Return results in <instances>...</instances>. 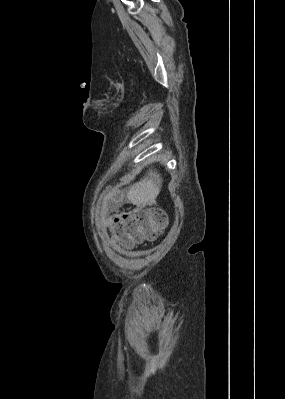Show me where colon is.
<instances>
[{
  "label": "colon",
  "instance_id": "obj_1",
  "mask_svg": "<svg viewBox=\"0 0 285 399\" xmlns=\"http://www.w3.org/2000/svg\"><path fill=\"white\" fill-rule=\"evenodd\" d=\"M101 214L110 221V235L121 248H130L143 238L164 231L168 226L165 213L157 208H142L121 213L115 212L114 202L104 201Z\"/></svg>",
  "mask_w": 285,
  "mask_h": 399
}]
</instances>
